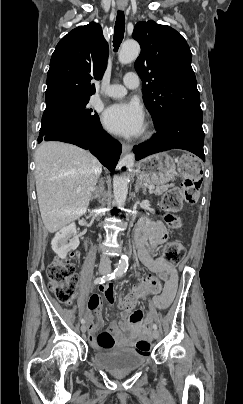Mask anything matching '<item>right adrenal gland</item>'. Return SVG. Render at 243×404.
<instances>
[{"label":"right adrenal gland","instance_id":"2a0ac1e0","mask_svg":"<svg viewBox=\"0 0 243 404\" xmlns=\"http://www.w3.org/2000/svg\"><path fill=\"white\" fill-rule=\"evenodd\" d=\"M104 192V182H101L100 186L96 188L95 192H93L92 198H90L91 202L92 200H97V198H100L101 194Z\"/></svg>","mask_w":243,"mask_h":404}]
</instances>
